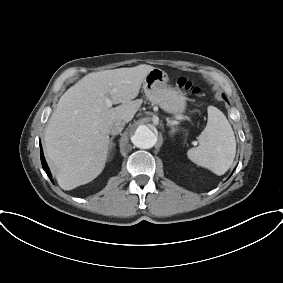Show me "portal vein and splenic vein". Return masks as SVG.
<instances>
[{
  "label": "portal vein and splenic vein",
  "mask_w": 283,
  "mask_h": 283,
  "mask_svg": "<svg viewBox=\"0 0 283 283\" xmlns=\"http://www.w3.org/2000/svg\"><path fill=\"white\" fill-rule=\"evenodd\" d=\"M106 103H107V105H108L109 107L112 106V102H111V100H110L109 98L106 99Z\"/></svg>",
  "instance_id": "portal-vein-and-splenic-vein-1"
}]
</instances>
